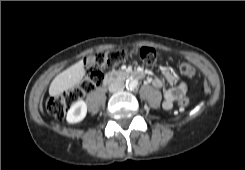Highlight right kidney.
I'll list each match as a JSON object with an SVG mask.
<instances>
[{
    "mask_svg": "<svg viewBox=\"0 0 245 170\" xmlns=\"http://www.w3.org/2000/svg\"><path fill=\"white\" fill-rule=\"evenodd\" d=\"M87 114V104L83 100L75 102L67 112L66 120L68 123L82 121Z\"/></svg>",
    "mask_w": 245,
    "mask_h": 170,
    "instance_id": "ca27d5eb",
    "label": "right kidney"
}]
</instances>
